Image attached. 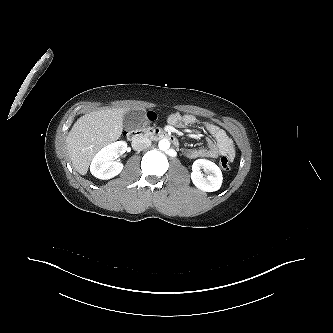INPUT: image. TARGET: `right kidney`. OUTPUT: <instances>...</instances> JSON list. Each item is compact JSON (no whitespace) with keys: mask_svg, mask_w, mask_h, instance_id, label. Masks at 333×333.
<instances>
[{"mask_svg":"<svg viewBox=\"0 0 333 333\" xmlns=\"http://www.w3.org/2000/svg\"><path fill=\"white\" fill-rule=\"evenodd\" d=\"M126 149L125 141H117L102 148L91 162V174L101 180H108L118 175L123 169V164L113 158L124 153Z\"/></svg>","mask_w":333,"mask_h":333,"instance_id":"obj_1","label":"right kidney"}]
</instances>
